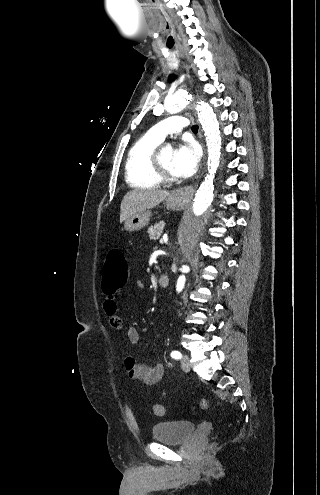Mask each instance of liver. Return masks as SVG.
<instances>
[{
	"instance_id": "6515ba94",
	"label": "liver",
	"mask_w": 320,
	"mask_h": 495,
	"mask_svg": "<svg viewBox=\"0 0 320 495\" xmlns=\"http://www.w3.org/2000/svg\"><path fill=\"white\" fill-rule=\"evenodd\" d=\"M170 195L169 191L134 189L121 202L120 222L131 215L159 205Z\"/></svg>"
}]
</instances>
